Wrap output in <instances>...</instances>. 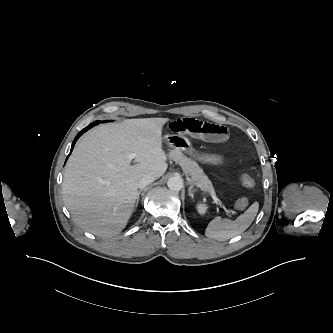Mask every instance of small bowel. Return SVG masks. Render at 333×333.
<instances>
[{
    "instance_id": "small-bowel-1",
    "label": "small bowel",
    "mask_w": 333,
    "mask_h": 333,
    "mask_svg": "<svg viewBox=\"0 0 333 333\" xmlns=\"http://www.w3.org/2000/svg\"><path fill=\"white\" fill-rule=\"evenodd\" d=\"M168 128L174 134L189 135L206 142H223L229 137L227 127L191 117L175 119L169 122Z\"/></svg>"
}]
</instances>
